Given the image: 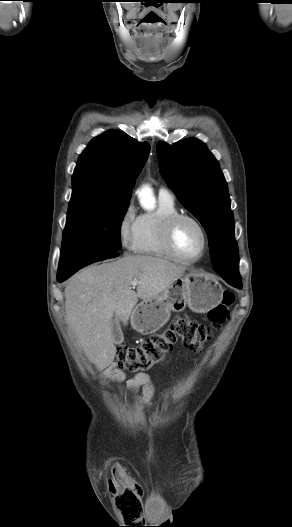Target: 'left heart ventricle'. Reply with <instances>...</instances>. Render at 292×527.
Returning <instances> with one entry per match:
<instances>
[{
  "mask_svg": "<svg viewBox=\"0 0 292 527\" xmlns=\"http://www.w3.org/2000/svg\"><path fill=\"white\" fill-rule=\"evenodd\" d=\"M174 243L185 258H196L202 251L203 238L199 228L189 220L179 222L174 232Z\"/></svg>",
  "mask_w": 292,
  "mask_h": 527,
  "instance_id": "left-heart-ventricle-1",
  "label": "left heart ventricle"
}]
</instances>
